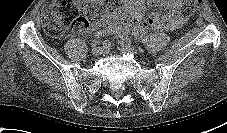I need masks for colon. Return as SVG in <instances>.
I'll return each mask as SVG.
<instances>
[{"label":"colon","mask_w":227,"mask_h":133,"mask_svg":"<svg viewBox=\"0 0 227 133\" xmlns=\"http://www.w3.org/2000/svg\"><path fill=\"white\" fill-rule=\"evenodd\" d=\"M200 2L201 0H179L182 16H191ZM114 10L106 0H49L42 13V23L49 37L59 39L69 28L82 31L91 24L104 23ZM149 19L163 21L162 14L157 13H153Z\"/></svg>","instance_id":"obj_1"}]
</instances>
